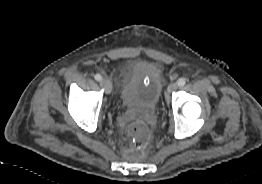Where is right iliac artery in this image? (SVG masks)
Here are the masks:
<instances>
[{
	"label": "right iliac artery",
	"instance_id": "right-iliac-artery-1",
	"mask_svg": "<svg viewBox=\"0 0 262 184\" xmlns=\"http://www.w3.org/2000/svg\"><path fill=\"white\" fill-rule=\"evenodd\" d=\"M95 79H96L97 81H101V80H102V76H101L100 74H96V75H95Z\"/></svg>",
	"mask_w": 262,
	"mask_h": 184
}]
</instances>
